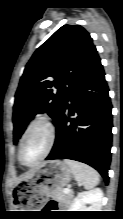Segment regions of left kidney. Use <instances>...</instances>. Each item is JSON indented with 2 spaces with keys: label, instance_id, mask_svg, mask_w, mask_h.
<instances>
[{
  "label": "left kidney",
  "instance_id": "1",
  "mask_svg": "<svg viewBox=\"0 0 123 219\" xmlns=\"http://www.w3.org/2000/svg\"><path fill=\"white\" fill-rule=\"evenodd\" d=\"M103 192L100 188H95L87 192H81L73 200L71 211H101ZM89 204L90 206H86Z\"/></svg>",
  "mask_w": 123,
  "mask_h": 219
}]
</instances>
